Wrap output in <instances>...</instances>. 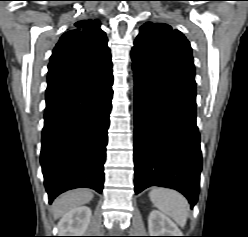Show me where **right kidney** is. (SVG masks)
<instances>
[{"label":"right kidney","instance_id":"1","mask_svg":"<svg viewBox=\"0 0 248 237\" xmlns=\"http://www.w3.org/2000/svg\"><path fill=\"white\" fill-rule=\"evenodd\" d=\"M91 215V209L87 206L70 210L58 223V235L83 236L89 226Z\"/></svg>","mask_w":248,"mask_h":237}]
</instances>
